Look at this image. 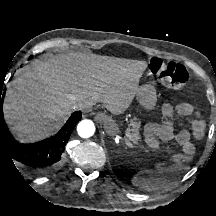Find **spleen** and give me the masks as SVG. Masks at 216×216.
<instances>
[{
	"label": "spleen",
	"instance_id": "3e777b00",
	"mask_svg": "<svg viewBox=\"0 0 216 216\" xmlns=\"http://www.w3.org/2000/svg\"><path fill=\"white\" fill-rule=\"evenodd\" d=\"M143 172L145 171L139 169V172L132 177L131 181L134 185L142 186L143 188L149 189L151 187L149 186V184H151L153 180L142 177L141 174Z\"/></svg>",
	"mask_w": 216,
	"mask_h": 216
}]
</instances>
